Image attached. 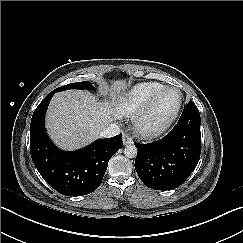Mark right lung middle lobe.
Returning a JSON list of instances; mask_svg holds the SVG:
<instances>
[{"label": "right lung middle lobe", "mask_w": 243, "mask_h": 243, "mask_svg": "<svg viewBox=\"0 0 243 243\" xmlns=\"http://www.w3.org/2000/svg\"><path fill=\"white\" fill-rule=\"evenodd\" d=\"M68 89H87V90H93L94 86L92 85L91 82L88 81H82V82H77V83H70L68 85L59 87L55 90H53L54 92H59V91H64V90H68Z\"/></svg>", "instance_id": "1"}]
</instances>
